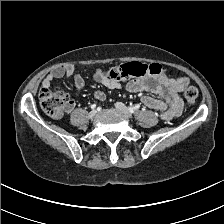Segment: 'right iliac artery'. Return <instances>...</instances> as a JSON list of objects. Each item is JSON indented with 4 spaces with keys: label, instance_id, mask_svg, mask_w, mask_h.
Here are the masks:
<instances>
[{
    "label": "right iliac artery",
    "instance_id": "82829eb1",
    "mask_svg": "<svg viewBox=\"0 0 224 224\" xmlns=\"http://www.w3.org/2000/svg\"><path fill=\"white\" fill-rule=\"evenodd\" d=\"M97 107V105L96 104H93L92 106H91V109H95Z\"/></svg>",
    "mask_w": 224,
    "mask_h": 224
}]
</instances>
